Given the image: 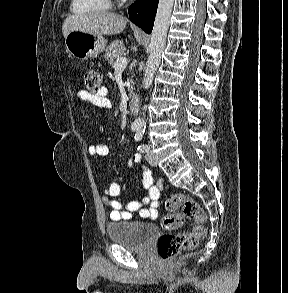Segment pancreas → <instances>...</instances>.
<instances>
[{
  "mask_svg": "<svg viewBox=\"0 0 288 293\" xmlns=\"http://www.w3.org/2000/svg\"><path fill=\"white\" fill-rule=\"evenodd\" d=\"M126 53V47L122 40H115L113 41L106 49L105 52V59H107L111 65V67H114L115 61L119 58L124 56ZM130 83L132 84V80H130ZM128 91L130 94L133 92L132 85L128 87Z\"/></svg>",
  "mask_w": 288,
  "mask_h": 293,
  "instance_id": "obj_1",
  "label": "pancreas"
}]
</instances>
